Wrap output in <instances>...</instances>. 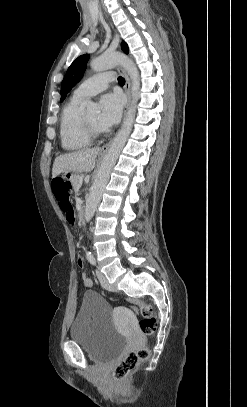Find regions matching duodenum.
Returning <instances> with one entry per match:
<instances>
[{"label":"duodenum","instance_id":"1","mask_svg":"<svg viewBox=\"0 0 247 407\" xmlns=\"http://www.w3.org/2000/svg\"><path fill=\"white\" fill-rule=\"evenodd\" d=\"M85 213H86V208H85V206L80 207V209H79V211H78V215H79V219H80L81 221L84 220Z\"/></svg>","mask_w":247,"mask_h":407}]
</instances>
